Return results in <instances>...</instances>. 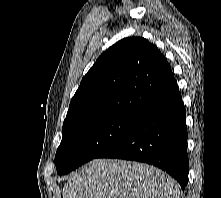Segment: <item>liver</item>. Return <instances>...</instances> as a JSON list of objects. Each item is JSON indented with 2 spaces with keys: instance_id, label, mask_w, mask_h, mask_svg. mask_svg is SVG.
Segmentation results:
<instances>
[{
  "instance_id": "1",
  "label": "liver",
  "mask_w": 221,
  "mask_h": 198,
  "mask_svg": "<svg viewBox=\"0 0 221 198\" xmlns=\"http://www.w3.org/2000/svg\"><path fill=\"white\" fill-rule=\"evenodd\" d=\"M63 198H180V186L160 169L139 162L94 159L72 173Z\"/></svg>"
}]
</instances>
